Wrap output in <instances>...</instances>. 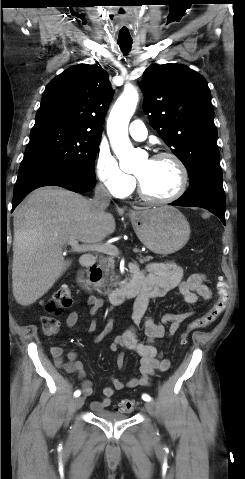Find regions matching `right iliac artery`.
Here are the masks:
<instances>
[{
  "instance_id": "1",
  "label": "right iliac artery",
  "mask_w": 245,
  "mask_h": 479,
  "mask_svg": "<svg viewBox=\"0 0 245 479\" xmlns=\"http://www.w3.org/2000/svg\"><path fill=\"white\" fill-rule=\"evenodd\" d=\"M80 394H81V392H80L79 390H76V391L74 392V397H79Z\"/></svg>"
}]
</instances>
